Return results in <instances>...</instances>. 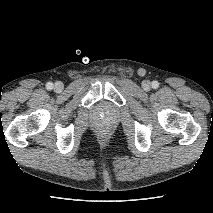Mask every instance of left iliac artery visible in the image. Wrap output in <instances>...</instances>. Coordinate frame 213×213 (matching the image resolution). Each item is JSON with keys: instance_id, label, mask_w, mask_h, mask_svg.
<instances>
[{"instance_id": "obj_1", "label": "left iliac artery", "mask_w": 213, "mask_h": 213, "mask_svg": "<svg viewBox=\"0 0 213 213\" xmlns=\"http://www.w3.org/2000/svg\"><path fill=\"white\" fill-rule=\"evenodd\" d=\"M159 87V83L157 81L152 82V88L157 89Z\"/></svg>"}]
</instances>
